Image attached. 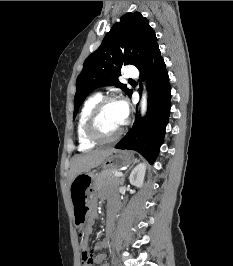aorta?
Instances as JSON below:
<instances>
[{"mask_svg":"<svg viewBox=\"0 0 233 266\" xmlns=\"http://www.w3.org/2000/svg\"><path fill=\"white\" fill-rule=\"evenodd\" d=\"M147 110V95L146 92L143 93L142 95V100H141V113L144 115Z\"/></svg>","mask_w":233,"mask_h":266,"instance_id":"aorta-1","label":"aorta"}]
</instances>
